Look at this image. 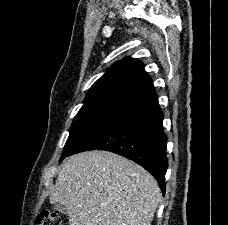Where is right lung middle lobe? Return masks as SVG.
Instances as JSON below:
<instances>
[{"instance_id":"1","label":"right lung middle lobe","mask_w":228,"mask_h":225,"mask_svg":"<svg viewBox=\"0 0 228 225\" xmlns=\"http://www.w3.org/2000/svg\"><path fill=\"white\" fill-rule=\"evenodd\" d=\"M139 92H141L140 89L122 83L92 87L72 123L70 135L66 141L60 161L72 151L87 133Z\"/></svg>"}]
</instances>
